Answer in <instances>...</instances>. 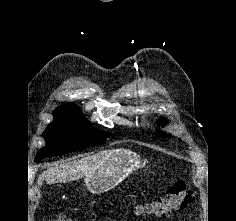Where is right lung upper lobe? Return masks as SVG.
<instances>
[{"mask_svg": "<svg viewBox=\"0 0 236 221\" xmlns=\"http://www.w3.org/2000/svg\"><path fill=\"white\" fill-rule=\"evenodd\" d=\"M57 108H69V109H73V110L79 111L77 108H75V107L72 106V105H63V106H59V107H57Z\"/></svg>", "mask_w": 236, "mask_h": 221, "instance_id": "obj_1", "label": "right lung upper lobe"}]
</instances>
